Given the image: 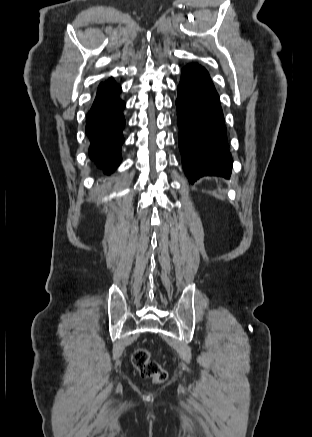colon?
Listing matches in <instances>:
<instances>
[{
    "mask_svg": "<svg viewBox=\"0 0 312 437\" xmlns=\"http://www.w3.org/2000/svg\"><path fill=\"white\" fill-rule=\"evenodd\" d=\"M132 363L142 377L155 383H163L168 377L167 371L157 361L151 359L150 353L145 348H139L133 353Z\"/></svg>",
    "mask_w": 312,
    "mask_h": 437,
    "instance_id": "colon-1",
    "label": "colon"
}]
</instances>
